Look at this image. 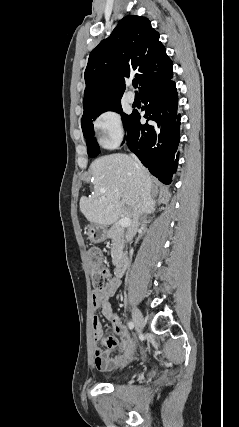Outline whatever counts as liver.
<instances>
[{"label":"liver","instance_id":"obj_1","mask_svg":"<svg viewBox=\"0 0 239 427\" xmlns=\"http://www.w3.org/2000/svg\"><path fill=\"white\" fill-rule=\"evenodd\" d=\"M89 172L93 178V194L81 197L80 211L94 224L108 226L121 217L134 218L144 183L149 184L150 192L152 189L149 172L125 154L97 158ZM153 206L154 201L149 212Z\"/></svg>","mask_w":239,"mask_h":427}]
</instances>
